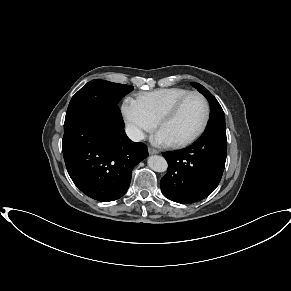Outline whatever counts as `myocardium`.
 I'll use <instances>...</instances> for the list:
<instances>
[{
  "label": "myocardium",
  "mask_w": 291,
  "mask_h": 291,
  "mask_svg": "<svg viewBox=\"0 0 291 291\" xmlns=\"http://www.w3.org/2000/svg\"><path fill=\"white\" fill-rule=\"evenodd\" d=\"M191 96H198L200 97L204 104H205V115H204V119L203 122L201 124V126L199 127V129L189 138L182 140V141H178V142H173L171 143V146L175 147V148H183L186 146L191 145L192 143H194L195 141H197L202 134L205 132L208 123H209V119H210V104L207 100V98L196 91H191L189 93H187L186 95H184L182 98H180L174 105H172L161 117L160 119L157 121V126L160 129L166 122L170 121L171 119H173L178 112L180 111L181 107L183 106V104L186 102V100L188 98H190Z\"/></svg>",
  "instance_id": "f54148a6"
}]
</instances>
